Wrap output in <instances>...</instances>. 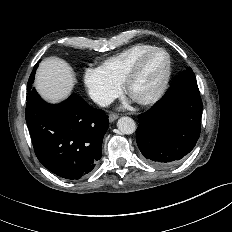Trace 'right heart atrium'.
<instances>
[{
	"mask_svg": "<svg viewBox=\"0 0 232 232\" xmlns=\"http://www.w3.org/2000/svg\"><path fill=\"white\" fill-rule=\"evenodd\" d=\"M84 84L90 97L99 105L106 106L120 93V84L110 78L100 67L87 68Z\"/></svg>",
	"mask_w": 232,
	"mask_h": 232,
	"instance_id": "obj_1",
	"label": "right heart atrium"
}]
</instances>
